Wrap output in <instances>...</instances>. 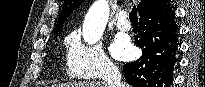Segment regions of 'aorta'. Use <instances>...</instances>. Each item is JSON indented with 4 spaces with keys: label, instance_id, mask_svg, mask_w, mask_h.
<instances>
[{
    "label": "aorta",
    "instance_id": "obj_1",
    "mask_svg": "<svg viewBox=\"0 0 205 87\" xmlns=\"http://www.w3.org/2000/svg\"><path fill=\"white\" fill-rule=\"evenodd\" d=\"M110 8L106 0H96L86 14L83 38L87 44H96L105 30Z\"/></svg>",
    "mask_w": 205,
    "mask_h": 87
}]
</instances>
